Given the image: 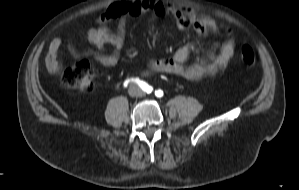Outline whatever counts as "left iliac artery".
Returning <instances> with one entry per match:
<instances>
[{
	"label": "left iliac artery",
	"mask_w": 299,
	"mask_h": 190,
	"mask_svg": "<svg viewBox=\"0 0 299 190\" xmlns=\"http://www.w3.org/2000/svg\"><path fill=\"white\" fill-rule=\"evenodd\" d=\"M161 93H162V91H159V90L155 92V94H156L157 96H160Z\"/></svg>",
	"instance_id": "obj_1"
}]
</instances>
